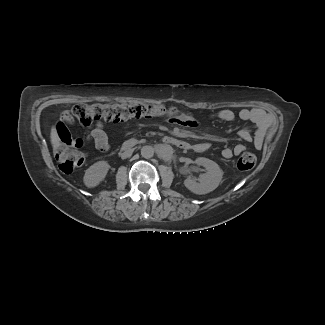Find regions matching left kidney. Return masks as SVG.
<instances>
[{"label": "left kidney", "mask_w": 325, "mask_h": 325, "mask_svg": "<svg viewBox=\"0 0 325 325\" xmlns=\"http://www.w3.org/2000/svg\"><path fill=\"white\" fill-rule=\"evenodd\" d=\"M195 163L199 166H203L206 172L200 176V182H196L190 177L186 178L184 180L185 187L198 195L212 192L222 181V170L217 163L204 157L196 158Z\"/></svg>", "instance_id": "obj_1"}]
</instances>
